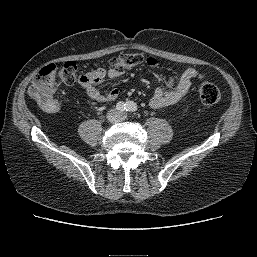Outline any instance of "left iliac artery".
I'll return each mask as SVG.
<instances>
[{
    "mask_svg": "<svg viewBox=\"0 0 257 257\" xmlns=\"http://www.w3.org/2000/svg\"><path fill=\"white\" fill-rule=\"evenodd\" d=\"M137 104L134 103L133 101H128L126 103V107H125V110L128 111V112H136L137 111Z\"/></svg>",
    "mask_w": 257,
    "mask_h": 257,
    "instance_id": "44dca946",
    "label": "left iliac artery"
}]
</instances>
